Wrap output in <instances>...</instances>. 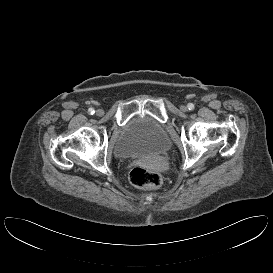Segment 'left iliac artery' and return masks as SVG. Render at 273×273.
Returning <instances> with one entry per match:
<instances>
[{
	"instance_id": "obj_1",
	"label": "left iliac artery",
	"mask_w": 273,
	"mask_h": 273,
	"mask_svg": "<svg viewBox=\"0 0 273 273\" xmlns=\"http://www.w3.org/2000/svg\"><path fill=\"white\" fill-rule=\"evenodd\" d=\"M187 107H188L189 110H193V109H194V104L189 103V104L187 105Z\"/></svg>"
}]
</instances>
